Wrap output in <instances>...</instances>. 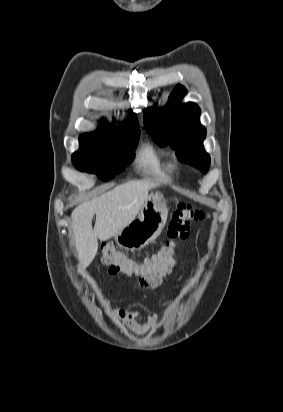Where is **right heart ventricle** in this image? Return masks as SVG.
Wrapping results in <instances>:
<instances>
[{
  "instance_id": "e07e8e85",
  "label": "right heart ventricle",
  "mask_w": 283,
  "mask_h": 412,
  "mask_svg": "<svg viewBox=\"0 0 283 412\" xmlns=\"http://www.w3.org/2000/svg\"><path fill=\"white\" fill-rule=\"evenodd\" d=\"M136 162L139 168L158 181L168 180L173 171L172 161L161 155L151 144L142 146Z\"/></svg>"
}]
</instances>
